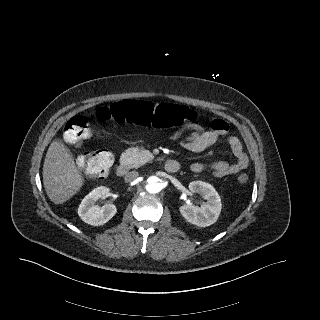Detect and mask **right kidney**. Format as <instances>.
<instances>
[{
    "label": "right kidney",
    "instance_id": "1",
    "mask_svg": "<svg viewBox=\"0 0 320 320\" xmlns=\"http://www.w3.org/2000/svg\"><path fill=\"white\" fill-rule=\"evenodd\" d=\"M110 189L100 186L93 189L84 197L78 208V215L87 224L100 226L107 223L117 212L114 204H105L104 206L96 205L100 198L107 197Z\"/></svg>",
    "mask_w": 320,
    "mask_h": 320
}]
</instances>
